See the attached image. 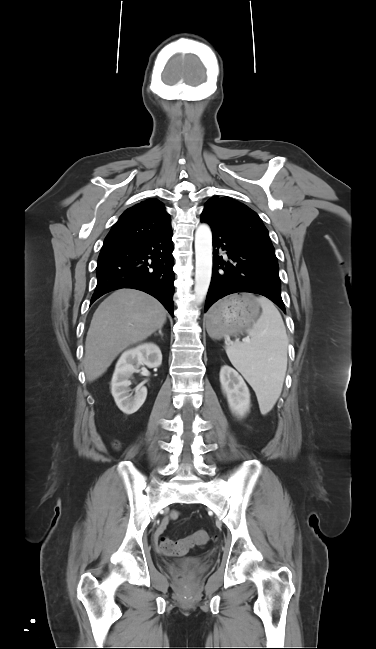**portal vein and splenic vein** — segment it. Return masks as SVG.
I'll return each instance as SVG.
<instances>
[{"label":"portal vein and splenic vein","instance_id":"obj_1","mask_svg":"<svg viewBox=\"0 0 376 649\" xmlns=\"http://www.w3.org/2000/svg\"><path fill=\"white\" fill-rule=\"evenodd\" d=\"M249 341H250V339H249V338H246V339H245V342H249Z\"/></svg>","mask_w":376,"mask_h":649}]
</instances>
